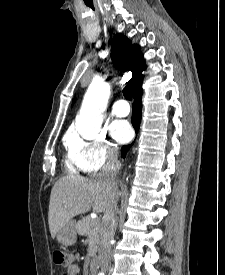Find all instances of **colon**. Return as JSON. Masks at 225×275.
<instances>
[{
	"instance_id": "5ec220e1",
	"label": "colon",
	"mask_w": 225,
	"mask_h": 275,
	"mask_svg": "<svg viewBox=\"0 0 225 275\" xmlns=\"http://www.w3.org/2000/svg\"><path fill=\"white\" fill-rule=\"evenodd\" d=\"M74 255L64 250H56L53 253V261L56 265L69 268L73 264Z\"/></svg>"
}]
</instances>
